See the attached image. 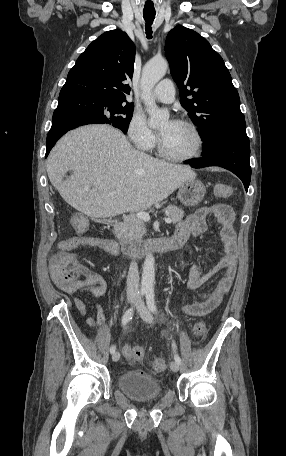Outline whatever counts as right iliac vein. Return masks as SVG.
Here are the masks:
<instances>
[{"mask_svg": "<svg viewBox=\"0 0 286 456\" xmlns=\"http://www.w3.org/2000/svg\"><path fill=\"white\" fill-rule=\"evenodd\" d=\"M136 301V297L135 296H128L127 297V302L129 304L131 303H134ZM120 359V353L118 351L114 352L113 355H112V360L114 362L118 361Z\"/></svg>", "mask_w": 286, "mask_h": 456, "instance_id": "63e3f726", "label": "right iliac vein"}]
</instances>
